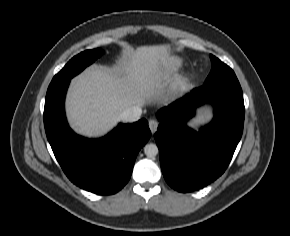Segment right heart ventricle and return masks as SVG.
<instances>
[{
	"instance_id": "e07e8e85",
	"label": "right heart ventricle",
	"mask_w": 290,
	"mask_h": 236,
	"mask_svg": "<svg viewBox=\"0 0 290 236\" xmlns=\"http://www.w3.org/2000/svg\"><path fill=\"white\" fill-rule=\"evenodd\" d=\"M171 65H172L173 68H178L180 66V61L178 59H174L171 62Z\"/></svg>"
}]
</instances>
